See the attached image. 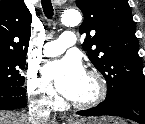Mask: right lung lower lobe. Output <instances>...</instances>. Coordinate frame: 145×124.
I'll return each instance as SVG.
<instances>
[{
  "instance_id": "1",
  "label": "right lung lower lobe",
  "mask_w": 145,
  "mask_h": 124,
  "mask_svg": "<svg viewBox=\"0 0 145 124\" xmlns=\"http://www.w3.org/2000/svg\"><path fill=\"white\" fill-rule=\"evenodd\" d=\"M26 107V94L23 86H0V110Z\"/></svg>"
}]
</instances>
